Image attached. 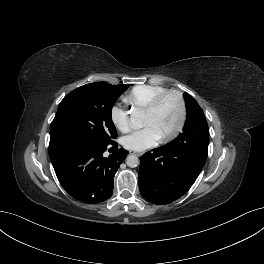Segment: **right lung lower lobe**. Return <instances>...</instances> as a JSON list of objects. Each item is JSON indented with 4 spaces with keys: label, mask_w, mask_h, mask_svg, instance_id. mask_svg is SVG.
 <instances>
[{
    "label": "right lung lower lobe",
    "mask_w": 264,
    "mask_h": 264,
    "mask_svg": "<svg viewBox=\"0 0 264 264\" xmlns=\"http://www.w3.org/2000/svg\"><path fill=\"white\" fill-rule=\"evenodd\" d=\"M111 145L117 147L113 141L104 144L68 139L49 146L57 178L72 197L93 204L112 195L115 173L128 152L116 149L106 158L103 153Z\"/></svg>",
    "instance_id": "1"
}]
</instances>
